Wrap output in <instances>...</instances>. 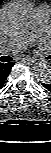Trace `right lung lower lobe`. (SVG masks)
Instances as JSON below:
<instances>
[{
  "label": "right lung lower lobe",
  "instance_id": "right-lung-lower-lobe-1",
  "mask_svg": "<svg viewBox=\"0 0 51 153\" xmlns=\"http://www.w3.org/2000/svg\"><path fill=\"white\" fill-rule=\"evenodd\" d=\"M14 63L10 62L7 64L0 63V88L5 83V80L7 79Z\"/></svg>",
  "mask_w": 51,
  "mask_h": 153
}]
</instances>
